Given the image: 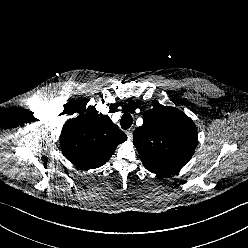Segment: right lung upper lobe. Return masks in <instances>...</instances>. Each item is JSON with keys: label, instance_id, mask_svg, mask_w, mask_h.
<instances>
[{"label": "right lung upper lobe", "instance_id": "right-lung-upper-lobe-1", "mask_svg": "<svg viewBox=\"0 0 248 248\" xmlns=\"http://www.w3.org/2000/svg\"><path fill=\"white\" fill-rule=\"evenodd\" d=\"M126 134L107 115L93 107L85 115L68 120L61 133V147L70 162L89 170L104 165Z\"/></svg>", "mask_w": 248, "mask_h": 248}]
</instances>
